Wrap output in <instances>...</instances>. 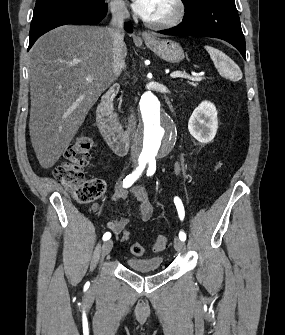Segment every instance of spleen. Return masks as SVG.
Segmentation results:
<instances>
[{
	"mask_svg": "<svg viewBox=\"0 0 285 335\" xmlns=\"http://www.w3.org/2000/svg\"><path fill=\"white\" fill-rule=\"evenodd\" d=\"M205 50H207L211 60H213L216 68H219V70H226L227 66L220 60V58H223L222 52H219V50H215V48H210V46H205ZM219 62V64H218Z\"/></svg>",
	"mask_w": 285,
	"mask_h": 335,
	"instance_id": "obj_1",
	"label": "spleen"
}]
</instances>
